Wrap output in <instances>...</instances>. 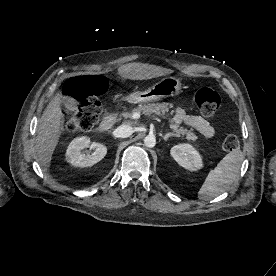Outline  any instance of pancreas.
I'll use <instances>...</instances> for the list:
<instances>
[{"label":"pancreas","mask_w":276,"mask_h":276,"mask_svg":"<svg viewBox=\"0 0 276 276\" xmlns=\"http://www.w3.org/2000/svg\"><path fill=\"white\" fill-rule=\"evenodd\" d=\"M169 105L168 103H152L148 105H139L137 108L131 109V111L122 112L120 114V117L118 120L121 119V117L125 119H132V116L135 112L138 113H144V114H157V115H165L166 112L169 111ZM136 121L128 120L127 124H136ZM170 128L173 129V131L176 133V135H184L187 140L189 141H195L197 140V136L191 131L186 128L180 127L178 124H174L173 122H170L169 124Z\"/></svg>","instance_id":"obj_1"}]
</instances>
